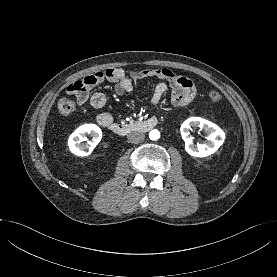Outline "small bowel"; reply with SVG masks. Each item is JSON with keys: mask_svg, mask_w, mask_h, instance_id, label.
Segmentation results:
<instances>
[{"mask_svg": "<svg viewBox=\"0 0 277 277\" xmlns=\"http://www.w3.org/2000/svg\"><path fill=\"white\" fill-rule=\"evenodd\" d=\"M144 79L159 81L152 95V104L156 108L160 105L161 99L168 88L171 90V103L177 107L190 104L196 96V87L190 79L179 76L167 68L139 69L130 71L128 74L120 68L107 69L85 77L82 80L85 86L84 91H75L74 87L77 82H74L68 86L67 92L74 95L79 104L89 101L92 107L103 109L107 103L105 94L95 92L89 97L88 91L90 89L103 81H108L114 83L115 92L118 95H123L126 92H132L136 83ZM105 120H113L111 113L104 111L97 116L100 125Z\"/></svg>", "mask_w": 277, "mask_h": 277, "instance_id": "small-bowel-1", "label": "small bowel"}]
</instances>
